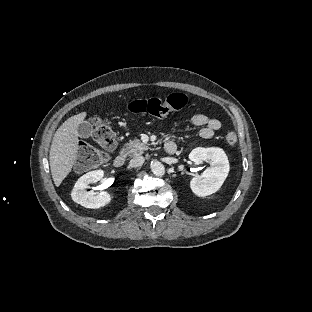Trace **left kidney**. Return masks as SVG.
Here are the masks:
<instances>
[{
	"mask_svg": "<svg viewBox=\"0 0 312 312\" xmlns=\"http://www.w3.org/2000/svg\"><path fill=\"white\" fill-rule=\"evenodd\" d=\"M189 158L194 161H206L211 167L207 168L201 177L190 181L192 192L199 197H206L217 192L228 177L230 165L228 157L220 148H196ZM202 177L204 178L202 180Z\"/></svg>",
	"mask_w": 312,
	"mask_h": 312,
	"instance_id": "left-kidney-1",
	"label": "left kidney"
}]
</instances>
